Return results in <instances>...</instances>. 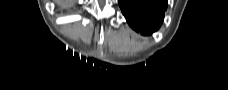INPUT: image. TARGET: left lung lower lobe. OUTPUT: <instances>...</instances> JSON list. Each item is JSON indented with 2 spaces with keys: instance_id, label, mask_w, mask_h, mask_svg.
Here are the masks:
<instances>
[{
  "instance_id": "0a47b994",
  "label": "left lung lower lobe",
  "mask_w": 228,
  "mask_h": 90,
  "mask_svg": "<svg viewBox=\"0 0 228 90\" xmlns=\"http://www.w3.org/2000/svg\"><path fill=\"white\" fill-rule=\"evenodd\" d=\"M129 25L147 35L156 31L163 22L167 0H118Z\"/></svg>"
}]
</instances>
